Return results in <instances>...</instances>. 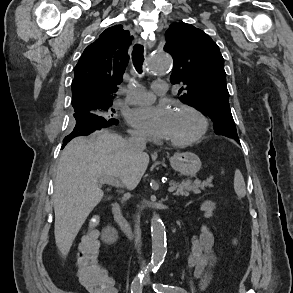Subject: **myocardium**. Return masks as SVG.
<instances>
[{
	"mask_svg": "<svg viewBox=\"0 0 293 293\" xmlns=\"http://www.w3.org/2000/svg\"><path fill=\"white\" fill-rule=\"evenodd\" d=\"M176 111L187 112V113H190L193 116H195L199 122V129H198L197 133L189 139L180 140V141H169L168 140L167 144L169 146H173V147H188V146H191V145L199 142L200 140H202L208 130V120L204 116V114L201 113L196 108L189 106V105H180L177 107Z\"/></svg>",
	"mask_w": 293,
	"mask_h": 293,
	"instance_id": "f54148a6",
	"label": "myocardium"
}]
</instances>
